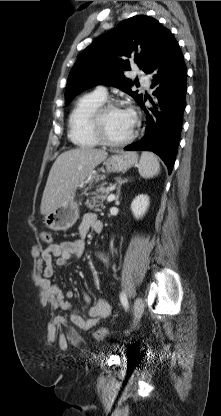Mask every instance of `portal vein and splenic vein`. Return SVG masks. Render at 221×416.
I'll use <instances>...</instances> for the list:
<instances>
[{
	"label": "portal vein and splenic vein",
	"instance_id": "portal-vein-and-splenic-vein-1",
	"mask_svg": "<svg viewBox=\"0 0 221 416\" xmlns=\"http://www.w3.org/2000/svg\"><path fill=\"white\" fill-rule=\"evenodd\" d=\"M115 199V195L114 194H110L108 197H107V201L108 202H111V201H113Z\"/></svg>",
	"mask_w": 221,
	"mask_h": 416
}]
</instances>
